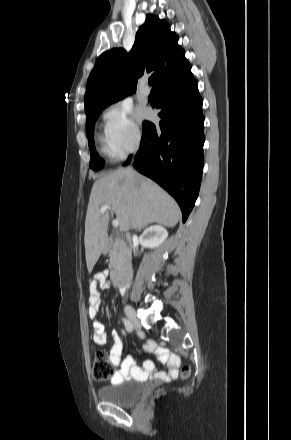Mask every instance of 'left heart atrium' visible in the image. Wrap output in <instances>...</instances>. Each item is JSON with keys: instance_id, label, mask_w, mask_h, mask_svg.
I'll return each instance as SVG.
<instances>
[{"instance_id": "left-heart-atrium-1", "label": "left heart atrium", "mask_w": 291, "mask_h": 440, "mask_svg": "<svg viewBox=\"0 0 291 440\" xmlns=\"http://www.w3.org/2000/svg\"><path fill=\"white\" fill-rule=\"evenodd\" d=\"M138 115L141 117V116H146V115H148V112L147 111H140L139 113H138Z\"/></svg>"}]
</instances>
